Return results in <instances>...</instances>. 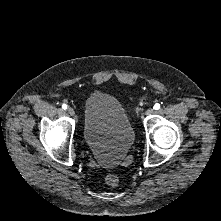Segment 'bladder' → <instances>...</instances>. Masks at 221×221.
I'll return each mask as SVG.
<instances>
[{"instance_id":"obj_1","label":"bladder","mask_w":221,"mask_h":221,"mask_svg":"<svg viewBox=\"0 0 221 221\" xmlns=\"http://www.w3.org/2000/svg\"><path fill=\"white\" fill-rule=\"evenodd\" d=\"M85 142L101 164L116 166L131 149L135 132L120 101L107 93L90 94L85 100Z\"/></svg>"}]
</instances>
